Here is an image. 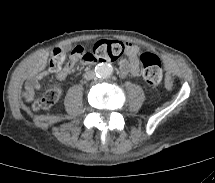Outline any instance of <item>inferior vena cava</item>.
<instances>
[{"mask_svg":"<svg viewBox=\"0 0 215 183\" xmlns=\"http://www.w3.org/2000/svg\"><path fill=\"white\" fill-rule=\"evenodd\" d=\"M84 78L87 80H91V79L95 78V72L94 71H87L84 74Z\"/></svg>","mask_w":215,"mask_h":183,"instance_id":"602c4592","label":"inferior vena cava"}]
</instances>
